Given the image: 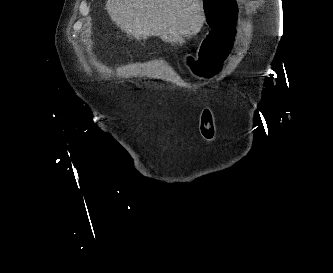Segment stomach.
Wrapping results in <instances>:
<instances>
[{
  "label": "stomach",
  "instance_id": "0dacf381",
  "mask_svg": "<svg viewBox=\"0 0 333 273\" xmlns=\"http://www.w3.org/2000/svg\"><path fill=\"white\" fill-rule=\"evenodd\" d=\"M204 4L207 23L210 28L207 39L200 45L199 55L186 56L185 62L191 73L196 78L208 80L214 75H224L225 69L221 68L225 56H232L234 44L230 41V32H235V18L232 14H242V7H235L234 0H200Z\"/></svg>",
  "mask_w": 333,
  "mask_h": 273
}]
</instances>
